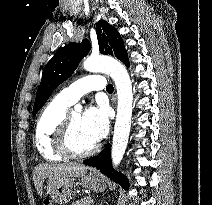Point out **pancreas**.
Returning <instances> with one entry per match:
<instances>
[{
    "label": "pancreas",
    "instance_id": "1",
    "mask_svg": "<svg viewBox=\"0 0 212 205\" xmlns=\"http://www.w3.org/2000/svg\"><path fill=\"white\" fill-rule=\"evenodd\" d=\"M91 201L92 200L90 198H82L81 200L76 201L72 205H90Z\"/></svg>",
    "mask_w": 212,
    "mask_h": 205
}]
</instances>
